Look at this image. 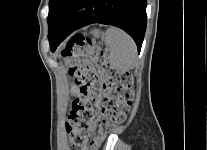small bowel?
Instances as JSON below:
<instances>
[{
    "label": "small bowel",
    "mask_w": 207,
    "mask_h": 150,
    "mask_svg": "<svg viewBox=\"0 0 207 150\" xmlns=\"http://www.w3.org/2000/svg\"><path fill=\"white\" fill-rule=\"evenodd\" d=\"M73 94L74 95H78L79 94V91H78V88L77 87H74L73 88Z\"/></svg>",
    "instance_id": "c3829d8e"
}]
</instances>
